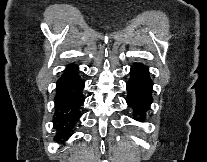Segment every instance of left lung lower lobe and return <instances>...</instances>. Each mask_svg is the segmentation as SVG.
I'll return each mask as SVG.
<instances>
[{
    "mask_svg": "<svg viewBox=\"0 0 207 162\" xmlns=\"http://www.w3.org/2000/svg\"><path fill=\"white\" fill-rule=\"evenodd\" d=\"M131 78L127 82V103L134 110V117L140 115L144 120V113L149 109L152 103L153 83L149 77L148 68L141 64H135L131 68Z\"/></svg>",
    "mask_w": 207,
    "mask_h": 162,
    "instance_id": "0a47b994",
    "label": "left lung lower lobe"
}]
</instances>
